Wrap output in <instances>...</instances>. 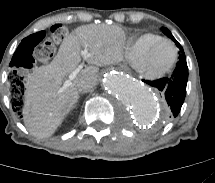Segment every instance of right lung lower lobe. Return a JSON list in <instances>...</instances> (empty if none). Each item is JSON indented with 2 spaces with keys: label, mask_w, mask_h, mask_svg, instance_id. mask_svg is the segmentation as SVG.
Here are the masks:
<instances>
[{
  "label": "right lung lower lobe",
  "mask_w": 215,
  "mask_h": 183,
  "mask_svg": "<svg viewBox=\"0 0 215 183\" xmlns=\"http://www.w3.org/2000/svg\"><path fill=\"white\" fill-rule=\"evenodd\" d=\"M18 90H19V89H18ZM18 90H17V92H18ZM13 94L16 96V94H17V93H15V91H14V93H13Z\"/></svg>",
  "instance_id": "1"
}]
</instances>
